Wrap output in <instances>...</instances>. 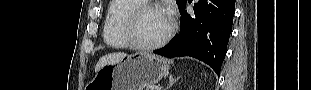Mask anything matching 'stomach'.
<instances>
[{"mask_svg": "<svg viewBox=\"0 0 311 90\" xmlns=\"http://www.w3.org/2000/svg\"><path fill=\"white\" fill-rule=\"evenodd\" d=\"M169 69L167 60L162 57L147 52L136 53L102 67L87 85V90H143L158 83Z\"/></svg>", "mask_w": 311, "mask_h": 90, "instance_id": "stomach-1", "label": "stomach"}]
</instances>
